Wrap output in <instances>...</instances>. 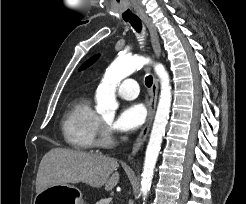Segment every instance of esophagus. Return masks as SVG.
<instances>
[{
	"mask_svg": "<svg viewBox=\"0 0 246 204\" xmlns=\"http://www.w3.org/2000/svg\"><path fill=\"white\" fill-rule=\"evenodd\" d=\"M142 19H143L144 23L146 24V26L149 30L151 45H152L154 55L156 58H159L160 54H161V46H160V41H159L157 29H156L154 23L151 21V19L148 16L143 15ZM157 97H158V80H157L156 76H153V84L151 87L147 120H146V123L143 126L141 132L139 133V135L135 141V144L132 148L131 158H133L138 153V151L140 150V148L142 147V145L146 141V138L148 136L149 130H150L152 122H153L156 104H157Z\"/></svg>",
	"mask_w": 246,
	"mask_h": 204,
	"instance_id": "1",
	"label": "esophagus"
}]
</instances>
